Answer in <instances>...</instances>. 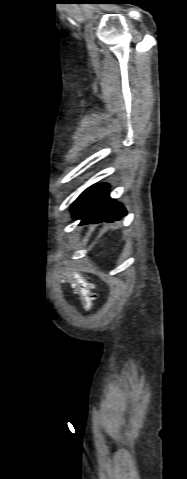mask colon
<instances>
[{"mask_svg": "<svg viewBox=\"0 0 187 479\" xmlns=\"http://www.w3.org/2000/svg\"><path fill=\"white\" fill-rule=\"evenodd\" d=\"M75 291L81 297L84 309L90 311L93 306L95 295L91 293L88 284L85 281H79Z\"/></svg>", "mask_w": 187, "mask_h": 479, "instance_id": "1", "label": "colon"}]
</instances>
